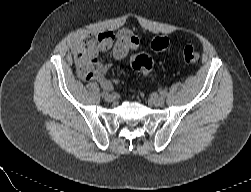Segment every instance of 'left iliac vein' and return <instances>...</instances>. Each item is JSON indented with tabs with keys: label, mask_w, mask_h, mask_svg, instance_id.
Masks as SVG:
<instances>
[{
	"label": "left iliac vein",
	"mask_w": 251,
	"mask_h": 192,
	"mask_svg": "<svg viewBox=\"0 0 251 192\" xmlns=\"http://www.w3.org/2000/svg\"><path fill=\"white\" fill-rule=\"evenodd\" d=\"M150 102L155 106H162L165 102L164 98L161 96H154L150 99Z\"/></svg>",
	"instance_id": "4c4485c4"
}]
</instances>
